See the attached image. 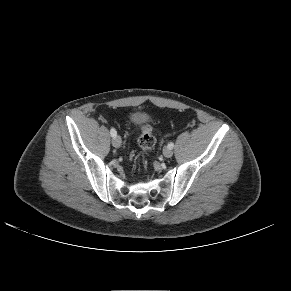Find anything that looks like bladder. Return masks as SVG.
<instances>
[{
  "mask_svg": "<svg viewBox=\"0 0 291 291\" xmlns=\"http://www.w3.org/2000/svg\"><path fill=\"white\" fill-rule=\"evenodd\" d=\"M132 123L140 125L145 122L146 115L142 112H135L130 116Z\"/></svg>",
  "mask_w": 291,
  "mask_h": 291,
  "instance_id": "bladder-1",
  "label": "bladder"
}]
</instances>
